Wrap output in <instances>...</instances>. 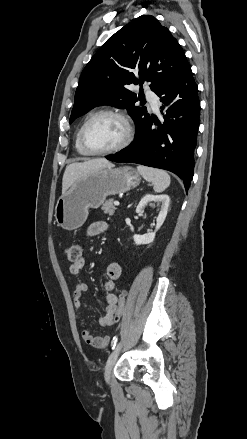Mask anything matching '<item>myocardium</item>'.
Masks as SVG:
<instances>
[{
	"instance_id": "1",
	"label": "myocardium",
	"mask_w": 247,
	"mask_h": 439,
	"mask_svg": "<svg viewBox=\"0 0 247 439\" xmlns=\"http://www.w3.org/2000/svg\"><path fill=\"white\" fill-rule=\"evenodd\" d=\"M104 115L117 117L123 122V124L125 126V132H126L125 137L119 145H117L111 149L102 150V151L92 150L86 143V139H85L86 129H87L88 125L95 118H97L99 116H104ZM133 138H134V128H133V125H132L130 118L123 111L115 110V109H103V110H100V111L93 113L83 123V125L81 126L80 131H79V142H80L82 149L84 150V152L87 155H93V156H104V155H110V154L117 153V152L125 149L126 147H128L131 144V142L133 141Z\"/></svg>"
}]
</instances>
